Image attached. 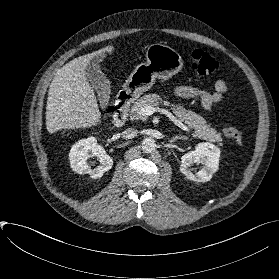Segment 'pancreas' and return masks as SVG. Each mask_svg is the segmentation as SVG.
I'll list each match as a JSON object with an SVG mask.
<instances>
[{
    "mask_svg": "<svg viewBox=\"0 0 279 279\" xmlns=\"http://www.w3.org/2000/svg\"><path fill=\"white\" fill-rule=\"evenodd\" d=\"M145 106H164L168 107L179 121L184 122L189 128L195 130V136L202 138L208 142H217L221 144V134L207 124L206 120L193 111L185 109L183 106L171 104L169 101L163 100L157 94L144 95L138 99L131 108V116L134 119H145L140 113L142 107Z\"/></svg>",
    "mask_w": 279,
    "mask_h": 279,
    "instance_id": "1",
    "label": "pancreas"
}]
</instances>
